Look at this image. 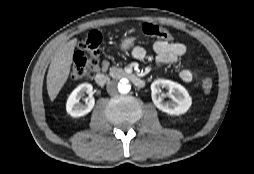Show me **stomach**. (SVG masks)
<instances>
[{
	"label": "stomach",
	"instance_id": "stomach-1",
	"mask_svg": "<svg viewBox=\"0 0 254 174\" xmlns=\"http://www.w3.org/2000/svg\"><path fill=\"white\" fill-rule=\"evenodd\" d=\"M135 43V38L134 37H126L122 39L120 43V48L124 51L130 50Z\"/></svg>",
	"mask_w": 254,
	"mask_h": 174
}]
</instances>
